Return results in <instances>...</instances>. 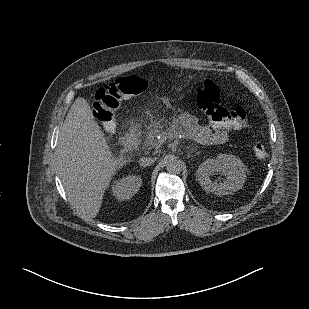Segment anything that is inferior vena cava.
<instances>
[{"label":"inferior vena cava","mask_w":309,"mask_h":309,"mask_svg":"<svg viewBox=\"0 0 309 309\" xmlns=\"http://www.w3.org/2000/svg\"><path fill=\"white\" fill-rule=\"evenodd\" d=\"M154 162H155V158H152V157H141L139 159V165L142 167L150 166Z\"/></svg>","instance_id":"inferior-vena-cava-1"}]
</instances>
